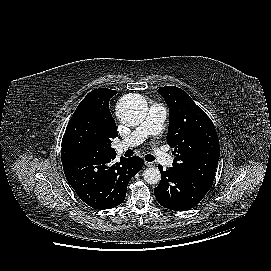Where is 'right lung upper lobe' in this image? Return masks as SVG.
<instances>
[{
  "instance_id": "obj_1",
  "label": "right lung upper lobe",
  "mask_w": 271,
  "mask_h": 271,
  "mask_svg": "<svg viewBox=\"0 0 271 271\" xmlns=\"http://www.w3.org/2000/svg\"><path fill=\"white\" fill-rule=\"evenodd\" d=\"M117 91L106 88L95 89L91 91L78 105L73 116L77 114H93L97 109H102L107 104L109 105V97L115 95ZM110 97V98H111ZM105 110V108H103ZM111 139L118 136L117 129H112L109 133ZM111 144V143H110ZM110 144L107 146L109 154H116L115 150L111 148Z\"/></svg>"
}]
</instances>
